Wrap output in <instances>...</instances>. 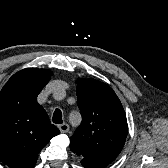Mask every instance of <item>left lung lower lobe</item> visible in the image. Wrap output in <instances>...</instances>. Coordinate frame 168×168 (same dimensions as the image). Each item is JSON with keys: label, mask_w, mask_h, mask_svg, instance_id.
<instances>
[{"label": "left lung lower lobe", "mask_w": 168, "mask_h": 168, "mask_svg": "<svg viewBox=\"0 0 168 168\" xmlns=\"http://www.w3.org/2000/svg\"><path fill=\"white\" fill-rule=\"evenodd\" d=\"M81 164L83 165V167L85 168H101L97 165H94V164H91V163H88V162H81Z\"/></svg>", "instance_id": "0a47b994"}]
</instances>
